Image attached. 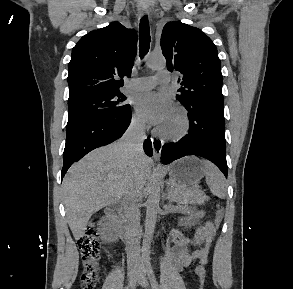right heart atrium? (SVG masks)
Listing matches in <instances>:
<instances>
[{
    "instance_id": "d8ad5b80",
    "label": "right heart atrium",
    "mask_w": 293,
    "mask_h": 289,
    "mask_svg": "<svg viewBox=\"0 0 293 289\" xmlns=\"http://www.w3.org/2000/svg\"><path fill=\"white\" fill-rule=\"evenodd\" d=\"M131 127L135 131L141 132L145 129L146 124L144 119L140 115L134 113L131 117Z\"/></svg>"
}]
</instances>
